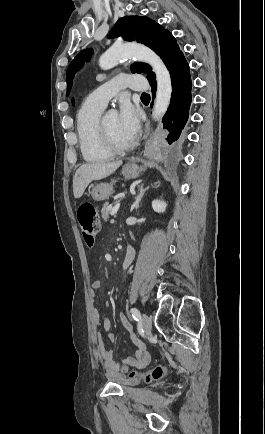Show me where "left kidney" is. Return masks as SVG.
I'll return each instance as SVG.
<instances>
[{
    "label": "left kidney",
    "mask_w": 265,
    "mask_h": 434,
    "mask_svg": "<svg viewBox=\"0 0 265 434\" xmlns=\"http://www.w3.org/2000/svg\"><path fill=\"white\" fill-rule=\"evenodd\" d=\"M152 208L154 212H158V214H163V212H166L167 204L166 202H162V200H153Z\"/></svg>",
    "instance_id": "obj_1"
}]
</instances>
